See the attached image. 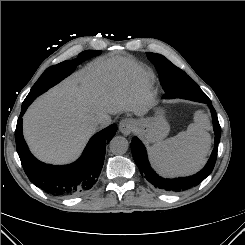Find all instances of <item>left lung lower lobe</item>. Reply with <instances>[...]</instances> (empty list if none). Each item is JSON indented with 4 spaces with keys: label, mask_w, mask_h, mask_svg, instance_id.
<instances>
[{
    "label": "left lung lower lobe",
    "mask_w": 245,
    "mask_h": 245,
    "mask_svg": "<svg viewBox=\"0 0 245 245\" xmlns=\"http://www.w3.org/2000/svg\"><path fill=\"white\" fill-rule=\"evenodd\" d=\"M188 85V84H187ZM166 99L170 98H183L189 99L196 102L205 103L208 105L211 111L212 120H213V127L215 133V142H214V149L212 154L208 160V163L205 167L198 173L193 176L189 177H181L176 179H163L156 172L151 168L148 158L147 152L143 145V143L137 138L134 137L131 142V151L133 155V159L140 170L142 176L146 177V179L154 185L155 188H158L162 191L174 193V192H182L188 190L199 183H201L209 174H211L216 158H217V151H218V144L221 137V127L217 118V113L212 106V103L208 96L200 89L197 88H187L179 91L169 92V94H164L163 96Z\"/></svg>",
    "instance_id": "obj_1"
}]
</instances>
